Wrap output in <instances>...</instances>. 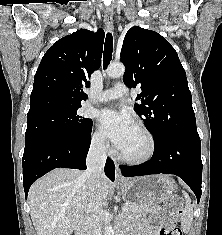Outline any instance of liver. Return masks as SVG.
Listing matches in <instances>:
<instances>
[{
  "instance_id": "obj_1",
  "label": "liver",
  "mask_w": 222,
  "mask_h": 235,
  "mask_svg": "<svg viewBox=\"0 0 222 235\" xmlns=\"http://www.w3.org/2000/svg\"><path fill=\"white\" fill-rule=\"evenodd\" d=\"M86 176L79 170L54 169L32 184L28 199L37 235H71L86 221L88 189ZM111 183L101 178L100 193L105 200Z\"/></svg>"
}]
</instances>
